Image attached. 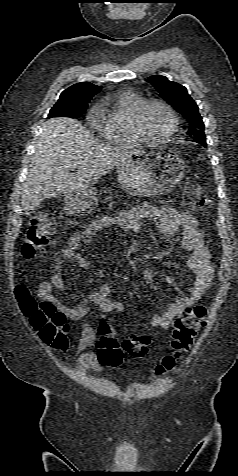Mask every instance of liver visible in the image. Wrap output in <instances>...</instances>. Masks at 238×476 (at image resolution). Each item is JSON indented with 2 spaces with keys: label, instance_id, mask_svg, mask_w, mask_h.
Masks as SVG:
<instances>
[{
  "label": "liver",
  "instance_id": "6515ba94",
  "mask_svg": "<svg viewBox=\"0 0 238 476\" xmlns=\"http://www.w3.org/2000/svg\"><path fill=\"white\" fill-rule=\"evenodd\" d=\"M141 152L135 146L98 144L79 121L52 118L43 125L22 187V209L31 215L44 199L89 186ZM70 169L77 172L70 173Z\"/></svg>",
  "mask_w": 238,
  "mask_h": 476
}]
</instances>
